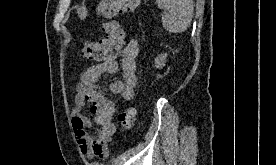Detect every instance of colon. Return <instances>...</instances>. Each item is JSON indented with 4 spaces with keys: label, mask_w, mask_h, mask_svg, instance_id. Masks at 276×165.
I'll use <instances>...</instances> for the list:
<instances>
[{
    "label": "colon",
    "mask_w": 276,
    "mask_h": 165,
    "mask_svg": "<svg viewBox=\"0 0 276 165\" xmlns=\"http://www.w3.org/2000/svg\"><path fill=\"white\" fill-rule=\"evenodd\" d=\"M140 0H100L97 14L104 19L103 38L98 41H88L84 44L82 55L93 61L104 62L114 60L120 54L124 45V32L116 20L123 13L134 11ZM136 119V110L127 108L118 115V121L124 130H130Z\"/></svg>",
    "instance_id": "obj_1"
}]
</instances>
